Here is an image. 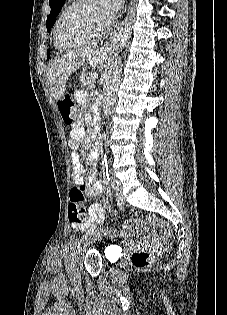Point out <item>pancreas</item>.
Wrapping results in <instances>:
<instances>
[{
	"label": "pancreas",
	"mask_w": 227,
	"mask_h": 315,
	"mask_svg": "<svg viewBox=\"0 0 227 315\" xmlns=\"http://www.w3.org/2000/svg\"><path fill=\"white\" fill-rule=\"evenodd\" d=\"M94 73H83L80 75V81L82 87H86L88 90H92L95 85V79H93Z\"/></svg>",
	"instance_id": "1"
}]
</instances>
